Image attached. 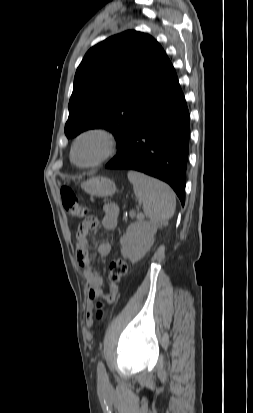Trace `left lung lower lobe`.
Returning <instances> with one entry per match:
<instances>
[{"mask_svg":"<svg viewBox=\"0 0 253 413\" xmlns=\"http://www.w3.org/2000/svg\"><path fill=\"white\" fill-rule=\"evenodd\" d=\"M190 116L172 64L129 122L108 169H131L168 183L185 204Z\"/></svg>","mask_w":253,"mask_h":413,"instance_id":"0a47b994","label":"left lung lower lobe"}]
</instances>
